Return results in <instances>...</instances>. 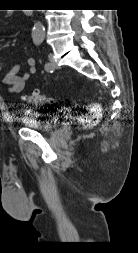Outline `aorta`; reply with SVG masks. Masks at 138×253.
I'll list each match as a JSON object with an SVG mask.
<instances>
[{
	"label": "aorta",
	"mask_w": 138,
	"mask_h": 253,
	"mask_svg": "<svg viewBox=\"0 0 138 253\" xmlns=\"http://www.w3.org/2000/svg\"><path fill=\"white\" fill-rule=\"evenodd\" d=\"M44 36H45L44 26L40 22L35 23L32 29V38L34 40H38V39H43Z\"/></svg>",
	"instance_id": "obj_1"
}]
</instances>
